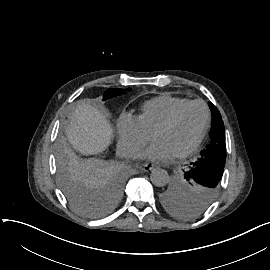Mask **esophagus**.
Wrapping results in <instances>:
<instances>
[{
	"instance_id": "1",
	"label": "esophagus",
	"mask_w": 270,
	"mask_h": 270,
	"mask_svg": "<svg viewBox=\"0 0 270 270\" xmlns=\"http://www.w3.org/2000/svg\"><path fill=\"white\" fill-rule=\"evenodd\" d=\"M154 168V165L152 163H146L142 165L141 169L142 171L148 172L151 171Z\"/></svg>"
}]
</instances>
